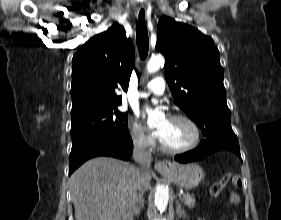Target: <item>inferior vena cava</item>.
Segmentation results:
<instances>
[{
  "label": "inferior vena cava",
  "mask_w": 281,
  "mask_h": 220,
  "mask_svg": "<svg viewBox=\"0 0 281 220\" xmlns=\"http://www.w3.org/2000/svg\"><path fill=\"white\" fill-rule=\"evenodd\" d=\"M133 157L138 164L137 168V187L144 191L149 186L150 164L152 161L151 153L147 146L141 141H135Z\"/></svg>",
  "instance_id": "1"
}]
</instances>
